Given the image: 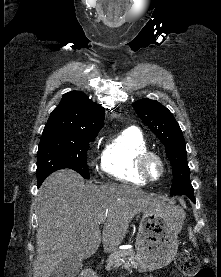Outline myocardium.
Instances as JSON below:
<instances>
[{
	"label": "myocardium",
	"instance_id": "myocardium-1",
	"mask_svg": "<svg viewBox=\"0 0 221 277\" xmlns=\"http://www.w3.org/2000/svg\"><path fill=\"white\" fill-rule=\"evenodd\" d=\"M151 160L157 161L160 166V174L156 178L151 177L148 173V164ZM165 169L166 167L163 158L154 151L148 150L142 153L137 160V170L139 174L148 182L159 181L165 174Z\"/></svg>",
	"mask_w": 221,
	"mask_h": 277
}]
</instances>
